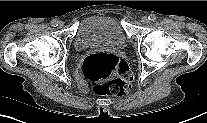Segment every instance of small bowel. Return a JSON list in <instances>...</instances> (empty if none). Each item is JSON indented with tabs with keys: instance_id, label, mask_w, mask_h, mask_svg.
I'll return each mask as SVG.
<instances>
[{
	"instance_id": "small-bowel-1",
	"label": "small bowel",
	"mask_w": 207,
	"mask_h": 123,
	"mask_svg": "<svg viewBox=\"0 0 207 123\" xmlns=\"http://www.w3.org/2000/svg\"><path fill=\"white\" fill-rule=\"evenodd\" d=\"M78 83H79V87H80L82 90H86V84H85V82H84L82 79H79V80H78Z\"/></svg>"
}]
</instances>
